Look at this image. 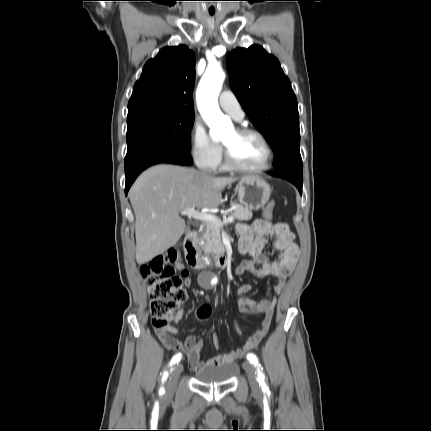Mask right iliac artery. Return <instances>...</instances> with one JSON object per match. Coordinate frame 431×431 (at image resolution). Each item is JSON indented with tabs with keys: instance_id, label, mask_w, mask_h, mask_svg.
<instances>
[{
	"instance_id": "82829eb1",
	"label": "right iliac artery",
	"mask_w": 431,
	"mask_h": 431,
	"mask_svg": "<svg viewBox=\"0 0 431 431\" xmlns=\"http://www.w3.org/2000/svg\"><path fill=\"white\" fill-rule=\"evenodd\" d=\"M181 357H182V355L179 353V354H176V355H174L173 357H172V359H171V362H170V365H173V364H175V363H178L180 360H181ZM167 376H168V374L165 372L164 373V375H163V380H165L166 378H167ZM162 390V389H161Z\"/></svg>"
}]
</instances>
